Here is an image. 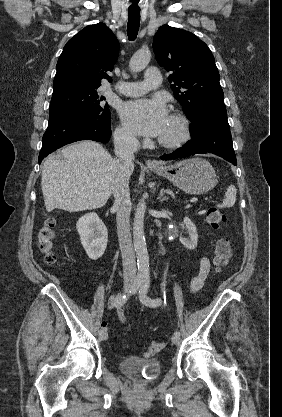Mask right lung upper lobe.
Returning <instances> with one entry per match:
<instances>
[{"label": "right lung upper lobe", "instance_id": "right-lung-upper-lobe-1", "mask_svg": "<svg viewBox=\"0 0 282 417\" xmlns=\"http://www.w3.org/2000/svg\"><path fill=\"white\" fill-rule=\"evenodd\" d=\"M119 53V42L104 23L89 25L72 37L64 46L57 62L53 93L101 86L109 82Z\"/></svg>", "mask_w": 282, "mask_h": 417}]
</instances>
